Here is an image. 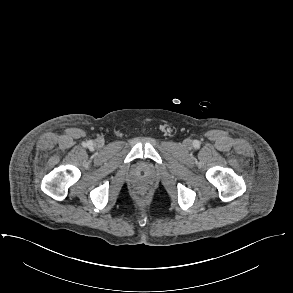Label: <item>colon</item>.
I'll return each instance as SVG.
<instances>
[{
	"instance_id": "1",
	"label": "colon",
	"mask_w": 293,
	"mask_h": 293,
	"mask_svg": "<svg viewBox=\"0 0 293 293\" xmlns=\"http://www.w3.org/2000/svg\"><path fill=\"white\" fill-rule=\"evenodd\" d=\"M137 196L141 199H145L148 196V191L144 187H140L137 189Z\"/></svg>"
}]
</instances>
